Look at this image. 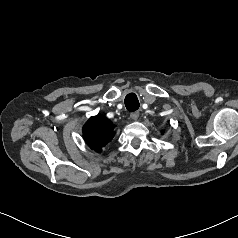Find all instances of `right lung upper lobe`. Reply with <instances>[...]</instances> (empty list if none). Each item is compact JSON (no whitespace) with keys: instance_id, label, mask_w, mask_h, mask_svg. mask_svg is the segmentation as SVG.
Wrapping results in <instances>:
<instances>
[{"instance_id":"right-lung-upper-lobe-1","label":"right lung upper lobe","mask_w":238,"mask_h":238,"mask_svg":"<svg viewBox=\"0 0 238 238\" xmlns=\"http://www.w3.org/2000/svg\"><path fill=\"white\" fill-rule=\"evenodd\" d=\"M115 125L106 117H91L83 127V137L91 149L100 152L114 137Z\"/></svg>"}]
</instances>
